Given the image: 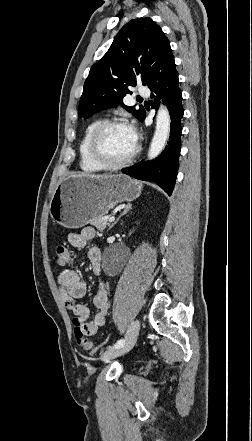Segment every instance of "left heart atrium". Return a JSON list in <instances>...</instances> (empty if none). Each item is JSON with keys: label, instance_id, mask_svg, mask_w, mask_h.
Listing matches in <instances>:
<instances>
[{"label": "left heart atrium", "instance_id": "39dd6f15", "mask_svg": "<svg viewBox=\"0 0 252 441\" xmlns=\"http://www.w3.org/2000/svg\"><path fill=\"white\" fill-rule=\"evenodd\" d=\"M130 129H131V132H132L133 140H134V142L136 143V141H137V135H136L135 131H134L132 128H130Z\"/></svg>", "mask_w": 252, "mask_h": 441}]
</instances>
